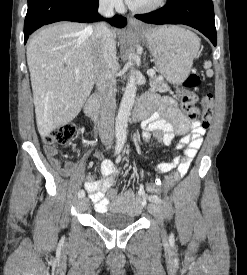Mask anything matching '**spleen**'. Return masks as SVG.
<instances>
[{"instance_id":"3e777b00","label":"spleen","mask_w":247,"mask_h":275,"mask_svg":"<svg viewBox=\"0 0 247 275\" xmlns=\"http://www.w3.org/2000/svg\"><path fill=\"white\" fill-rule=\"evenodd\" d=\"M199 45H200V42L198 43V47H199ZM211 66H212V63H211L210 61H206V62L204 63V68L207 70L206 73H207L208 75H212V74H213V71L210 69Z\"/></svg>"}]
</instances>
